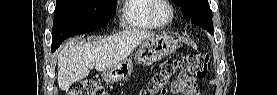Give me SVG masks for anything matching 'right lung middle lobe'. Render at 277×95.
<instances>
[{"label": "right lung middle lobe", "mask_w": 277, "mask_h": 95, "mask_svg": "<svg viewBox=\"0 0 277 95\" xmlns=\"http://www.w3.org/2000/svg\"><path fill=\"white\" fill-rule=\"evenodd\" d=\"M116 0H57L52 49L68 37L97 30L115 15Z\"/></svg>", "instance_id": "dd1d6c3e"}]
</instances>
